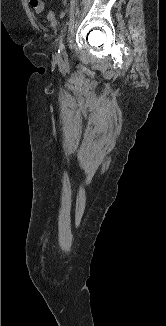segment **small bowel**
<instances>
[{
    "instance_id": "c3829d8e",
    "label": "small bowel",
    "mask_w": 166,
    "mask_h": 326,
    "mask_svg": "<svg viewBox=\"0 0 166 326\" xmlns=\"http://www.w3.org/2000/svg\"><path fill=\"white\" fill-rule=\"evenodd\" d=\"M30 7L36 12L40 13L44 9L43 0H29Z\"/></svg>"
}]
</instances>
